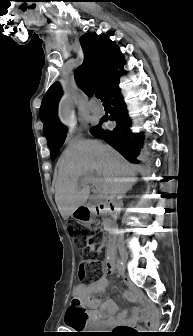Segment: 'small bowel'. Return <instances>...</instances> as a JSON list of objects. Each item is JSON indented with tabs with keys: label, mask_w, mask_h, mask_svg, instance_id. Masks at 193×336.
<instances>
[{
	"label": "small bowel",
	"mask_w": 193,
	"mask_h": 336,
	"mask_svg": "<svg viewBox=\"0 0 193 336\" xmlns=\"http://www.w3.org/2000/svg\"><path fill=\"white\" fill-rule=\"evenodd\" d=\"M106 274H113L115 271V266L111 265L106 261L105 263ZM108 287V280L106 277H99L89 284L78 283L74 287L73 293L75 296L82 300H86L92 295H103ZM125 296L130 300H136L138 294L135 292H126ZM89 311L84 310H73L70 315V320L67 324L74 326L76 328H83L85 323L96 322L103 320L106 325H112L116 322L115 314L118 310L117 305L111 299H105L104 301H89L87 302ZM119 320H127L130 324L134 325L135 319L132 315L127 313H122L119 316ZM144 323H151L150 318H144ZM104 327V325H102Z\"/></svg>",
	"instance_id": "c3829d8e"
}]
</instances>
